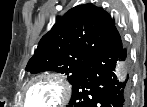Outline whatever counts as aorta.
<instances>
[{
	"label": "aorta",
	"mask_w": 147,
	"mask_h": 107,
	"mask_svg": "<svg viewBox=\"0 0 147 107\" xmlns=\"http://www.w3.org/2000/svg\"><path fill=\"white\" fill-rule=\"evenodd\" d=\"M123 73H125V70H124V68L122 67V65L119 64L118 67H117V69H116L115 74H116L117 77H118V76L122 75Z\"/></svg>",
	"instance_id": "1"
}]
</instances>
